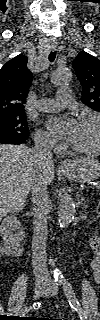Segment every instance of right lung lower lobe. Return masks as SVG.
Returning <instances> with one entry per match:
<instances>
[{"label":"right lung lower lobe","mask_w":100,"mask_h":320,"mask_svg":"<svg viewBox=\"0 0 100 320\" xmlns=\"http://www.w3.org/2000/svg\"><path fill=\"white\" fill-rule=\"evenodd\" d=\"M25 142H26V139H21V138H8L0 141V143L2 144H22Z\"/></svg>","instance_id":"1"}]
</instances>
